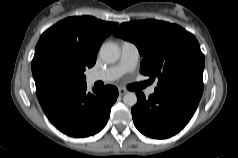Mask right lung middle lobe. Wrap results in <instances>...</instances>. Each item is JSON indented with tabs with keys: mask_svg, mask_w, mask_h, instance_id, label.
Masks as SVG:
<instances>
[{
	"mask_svg": "<svg viewBox=\"0 0 238 158\" xmlns=\"http://www.w3.org/2000/svg\"><path fill=\"white\" fill-rule=\"evenodd\" d=\"M86 63L78 53L55 41H46L35 49L32 73L35 80L51 78L74 84L86 83Z\"/></svg>",
	"mask_w": 238,
	"mask_h": 158,
	"instance_id": "right-lung-middle-lobe-1",
	"label": "right lung middle lobe"
}]
</instances>
